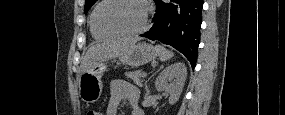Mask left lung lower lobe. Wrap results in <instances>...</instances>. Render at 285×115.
I'll list each match as a JSON object with an SVG mask.
<instances>
[{"mask_svg": "<svg viewBox=\"0 0 285 115\" xmlns=\"http://www.w3.org/2000/svg\"><path fill=\"white\" fill-rule=\"evenodd\" d=\"M153 26L140 36L171 45L196 65L200 43L202 0H154Z\"/></svg>", "mask_w": 285, "mask_h": 115, "instance_id": "obj_1", "label": "left lung lower lobe"}]
</instances>
